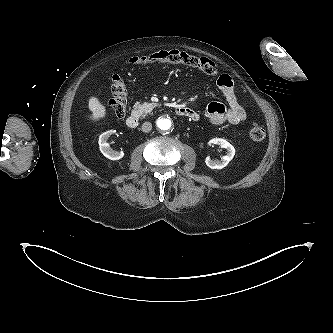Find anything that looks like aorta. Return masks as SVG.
<instances>
[{
	"mask_svg": "<svg viewBox=\"0 0 333 333\" xmlns=\"http://www.w3.org/2000/svg\"><path fill=\"white\" fill-rule=\"evenodd\" d=\"M172 126V122L169 118H161L157 121V127L161 131H168Z\"/></svg>",
	"mask_w": 333,
	"mask_h": 333,
	"instance_id": "1",
	"label": "aorta"
}]
</instances>
